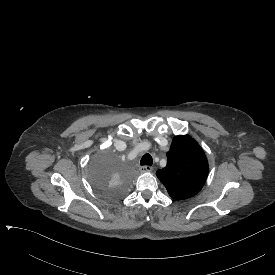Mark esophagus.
<instances>
[{
    "label": "esophagus",
    "mask_w": 275,
    "mask_h": 275,
    "mask_svg": "<svg viewBox=\"0 0 275 275\" xmlns=\"http://www.w3.org/2000/svg\"><path fill=\"white\" fill-rule=\"evenodd\" d=\"M140 172L144 173V172H150L152 171V167L148 166V165H143L139 168Z\"/></svg>",
    "instance_id": "esophagus-1"
}]
</instances>
